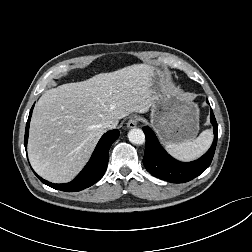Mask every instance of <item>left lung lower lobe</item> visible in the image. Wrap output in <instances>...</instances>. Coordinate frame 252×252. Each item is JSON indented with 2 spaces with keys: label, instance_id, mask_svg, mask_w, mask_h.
I'll list each match as a JSON object with an SVG mask.
<instances>
[{
  "label": "left lung lower lobe",
  "instance_id": "obj_1",
  "mask_svg": "<svg viewBox=\"0 0 252 252\" xmlns=\"http://www.w3.org/2000/svg\"><path fill=\"white\" fill-rule=\"evenodd\" d=\"M210 119L214 131L213 144L201 158L189 163H183L172 158L161 147L154 132L149 127H143L146 136L143 163L147 171L155 177L173 183L188 182L204 172L213 159L218 136V126L212 110Z\"/></svg>",
  "mask_w": 252,
  "mask_h": 252
}]
</instances>
